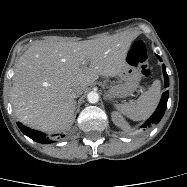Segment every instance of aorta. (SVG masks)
<instances>
[{
    "label": "aorta",
    "instance_id": "obj_1",
    "mask_svg": "<svg viewBox=\"0 0 187 187\" xmlns=\"http://www.w3.org/2000/svg\"><path fill=\"white\" fill-rule=\"evenodd\" d=\"M87 99L90 103H97L99 101V94L95 91H92L87 95Z\"/></svg>",
    "mask_w": 187,
    "mask_h": 187
}]
</instances>
